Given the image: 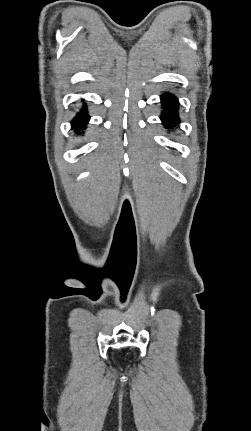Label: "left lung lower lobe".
Listing matches in <instances>:
<instances>
[{"mask_svg": "<svg viewBox=\"0 0 251 431\" xmlns=\"http://www.w3.org/2000/svg\"><path fill=\"white\" fill-rule=\"evenodd\" d=\"M161 102L163 112L160 119L163 125L167 129L176 127L180 123L178 116V99L171 93H165L161 95Z\"/></svg>", "mask_w": 251, "mask_h": 431, "instance_id": "0a47b994", "label": "left lung lower lobe"}]
</instances>
